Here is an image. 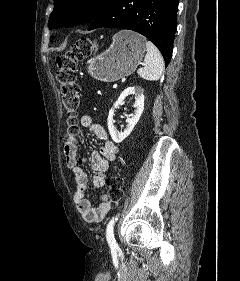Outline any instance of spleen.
I'll list each match as a JSON object with an SVG mask.
<instances>
[{
  "label": "spleen",
  "instance_id": "3e777b00",
  "mask_svg": "<svg viewBox=\"0 0 240 281\" xmlns=\"http://www.w3.org/2000/svg\"><path fill=\"white\" fill-rule=\"evenodd\" d=\"M147 54L144 66L139 68L138 75L149 81L158 80L164 70V60L157 47L150 41H146Z\"/></svg>",
  "mask_w": 240,
  "mask_h": 281
}]
</instances>
